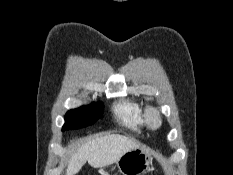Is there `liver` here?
<instances>
[{
	"instance_id": "liver-1",
	"label": "liver",
	"mask_w": 233,
	"mask_h": 175,
	"mask_svg": "<svg viewBox=\"0 0 233 175\" xmlns=\"http://www.w3.org/2000/svg\"><path fill=\"white\" fill-rule=\"evenodd\" d=\"M137 147L139 144L135 140L122 135L96 136L82 144L71 156L66 175L77 174L86 162L93 168L111 165L123 154Z\"/></svg>"
}]
</instances>
